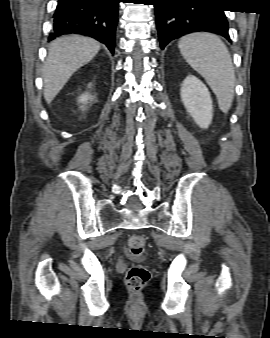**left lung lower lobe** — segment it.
I'll return each mask as SVG.
<instances>
[{
	"label": "left lung lower lobe",
	"mask_w": 270,
	"mask_h": 338,
	"mask_svg": "<svg viewBox=\"0 0 270 338\" xmlns=\"http://www.w3.org/2000/svg\"><path fill=\"white\" fill-rule=\"evenodd\" d=\"M161 49L192 32H212L230 41L224 10L217 0H154Z\"/></svg>",
	"instance_id": "1"
}]
</instances>
